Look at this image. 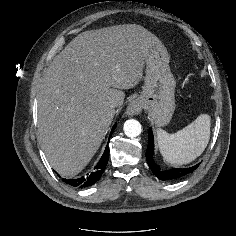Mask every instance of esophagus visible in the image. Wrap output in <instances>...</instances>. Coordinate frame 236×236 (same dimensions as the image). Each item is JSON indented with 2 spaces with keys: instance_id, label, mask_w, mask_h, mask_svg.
<instances>
[{
  "instance_id": "obj_1",
  "label": "esophagus",
  "mask_w": 236,
  "mask_h": 236,
  "mask_svg": "<svg viewBox=\"0 0 236 236\" xmlns=\"http://www.w3.org/2000/svg\"><path fill=\"white\" fill-rule=\"evenodd\" d=\"M143 104L140 99L133 100L127 107L126 113L128 115H137L142 111Z\"/></svg>"
}]
</instances>
